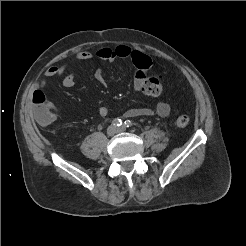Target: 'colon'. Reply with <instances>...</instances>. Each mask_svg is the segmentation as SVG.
Masks as SVG:
<instances>
[{"mask_svg":"<svg viewBox=\"0 0 246 246\" xmlns=\"http://www.w3.org/2000/svg\"><path fill=\"white\" fill-rule=\"evenodd\" d=\"M131 60L138 71L142 73L147 71L152 65L151 59L148 55L136 50L132 52ZM141 91L149 96H159L163 93L164 86L158 77L145 76L142 81ZM32 102L35 105L36 116L43 118L45 116L43 98L38 93H34L32 97ZM189 121L190 116L187 113H182L176 117L175 125L179 128H182L187 126Z\"/></svg>","mask_w":246,"mask_h":246,"instance_id":"colon-1","label":"colon"}]
</instances>
